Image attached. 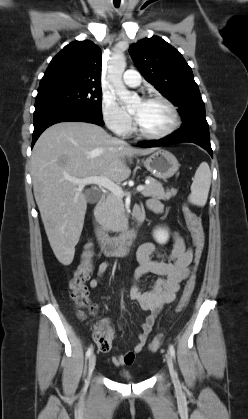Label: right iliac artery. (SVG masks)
I'll return each mask as SVG.
<instances>
[{
	"instance_id": "right-iliac-artery-1",
	"label": "right iliac artery",
	"mask_w": 248,
	"mask_h": 419,
	"mask_svg": "<svg viewBox=\"0 0 248 419\" xmlns=\"http://www.w3.org/2000/svg\"><path fill=\"white\" fill-rule=\"evenodd\" d=\"M93 349L90 347L86 352V357L88 358L92 354Z\"/></svg>"
}]
</instances>
